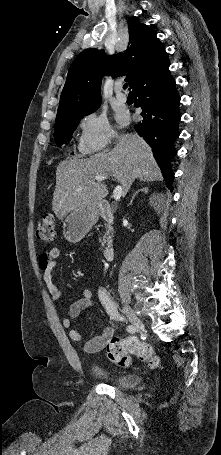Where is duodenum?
<instances>
[{
	"label": "duodenum",
	"mask_w": 221,
	"mask_h": 455,
	"mask_svg": "<svg viewBox=\"0 0 221 455\" xmlns=\"http://www.w3.org/2000/svg\"><path fill=\"white\" fill-rule=\"evenodd\" d=\"M98 215L103 218L109 225L114 222V214L112 207L108 204H101L97 207ZM114 256V246L112 243H108L103 250V257L105 260L109 261Z\"/></svg>",
	"instance_id": "obj_1"
}]
</instances>
